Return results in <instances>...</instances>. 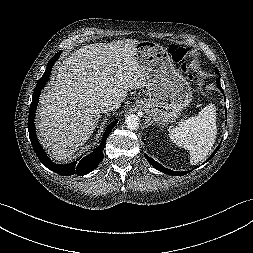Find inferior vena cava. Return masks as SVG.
<instances>
[{"label":"inferior vena cava","mask_w":253,"mask_h":253,"mask_svg":"<svg viewBox=\"0 0 253 253\" xmlns=\"http://www.w3.org/2000/svg\"><path fill=\"white\" fill-rule=\"evenodd\" d=\"M120 105L121 104L118 100L107 99L101 103L100 109L102 113H107L112 110L118 109Z\"/></svg>","instance_id":"602c4592"}]
</instances>
